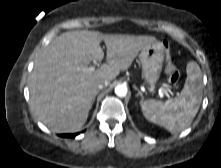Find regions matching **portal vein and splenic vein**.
Returning <instances> with one entry per match:
<instances>
[{"label":"portal vein and splenic vein","instance_id":"18ae733b","mask_svg":"<svg viewBox=\"0 0 221 168\" xmlns=\"http://www.w3.org/2000/svg\"><path fill=\"white\" fill-rule=\"evenodd\" d=\"M94 70H95L94 67H89V68L83 69V71H94ZM150 91L153 92L154 90L151 89ZM168 92H169V91H168L167 89H164V88H162V89L159 90L160 96H166V97L170 98V95H169Z\"/></svg>","mask_w":221,"mask_h":168}]
</instances>
